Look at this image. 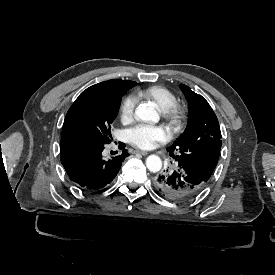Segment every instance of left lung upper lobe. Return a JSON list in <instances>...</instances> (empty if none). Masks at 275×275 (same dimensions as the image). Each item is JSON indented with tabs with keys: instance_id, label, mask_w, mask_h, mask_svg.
<instances>
[{
	"instance_id": "obj_1",
	"label": "left lung upper lobe",
	"mask_w": 275,
	"mask_h": 275,
	"mask_svg": "<svg viewBox=\"0 0 275 275\" xmlns=\"http://www.w3.org/2000/svg\"><path fill=\"white\" fill-rule=\"evenodd\" d=\"M189 107L187 127L167 148L179 166L207 182L217 165L221 149V131L209 103L190 87L180 84Z\"/></svg>"
}]
</instances>
